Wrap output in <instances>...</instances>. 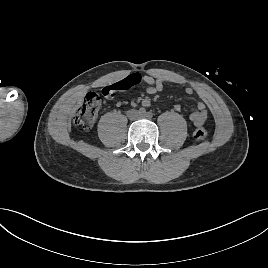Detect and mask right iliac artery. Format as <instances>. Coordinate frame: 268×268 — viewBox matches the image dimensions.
Returning <instances> with one entry per match:
<instances>
[{"mask_svg":"<svg viewBox=\"0 0 268 268\" xmlns=\"http://www.w3.org/2000/svg\"><path fill=\"white\" fill-rule=\"evenodd\" d=\"M138 113L142 114V115H145L146 114V109L141 107V108H139Z\"/></svg>","mask_w":268,"mask_h":268,"instance_id":"obj_1","label":"right iliac artery"}]
</instances>
